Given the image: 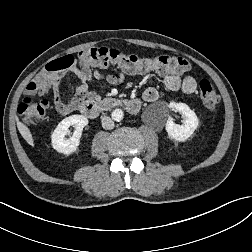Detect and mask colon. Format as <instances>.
<instances>
[{
	"label": "colon",
	"instance_id": "5ec220e1",
	"mask_svg": "<svg viewBox=\"0 0 252 252\" xmlns=\"http://www.w3.org/2000/svg\"><path fill=\"white\" fill-rule=\"evenodd\" d=\"M77 62L81 66L88 67L106 68L115 66L130 73L153 70L160 74H184L190 70L189 62L182 57L170 55L142 57L107 47H93L81 51L78 54V61L71 55H67L49 62L27 85L26 95L18 106V113L25 123L33 124L40 121L49 107L47 99L35 101L33 97L45 93L59 76ZM199 95L208 110H216L220 97L212 83L206 78H201L199 81Z\"/></svg>",
	"mask_w": 252,
	"mask_h": 252
}]
</instances>
